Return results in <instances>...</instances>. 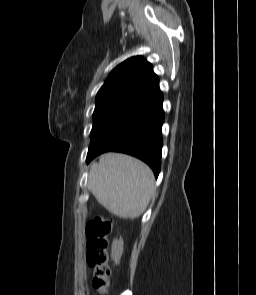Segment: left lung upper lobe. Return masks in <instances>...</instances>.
Wrapping results in <instances>:
<instances>
[{
  "instance_id": "1",
  "label": "left lung upper lobe",
  "mask_w": 256,
  "mask_h": 295,
  "mask_svg": "<svg viewBox=\"0 0 256 295\" xmlns=\"http://www.w3.org/2000/svg\"><path fill=\"white\" fill-rule=\"evenodd\" d=\"M160 94L158 76L144 58L135 56L119 64L97 93L90 146Z\"/></svg>"
}]
</instances>
